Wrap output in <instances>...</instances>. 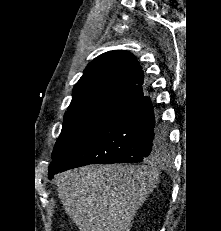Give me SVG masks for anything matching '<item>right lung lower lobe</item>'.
<instances>
[{
  "mask_svg": "<svg viewBox=\"0 0 221 231\" xmlns=\"http://www.w3.org/2000/svg\"><path fill=\"white\" fill-rule=\"evenodd\" d=\"M167 135L155 115L150 97L130 102L115 113L64 165L48 172L54 174L96 163H138L163 155Z\"/></svg>",
  "mask_w": 221,
  "mask_h": 231,
  "instance_id": "obj_1",
  "label": "right lung lower lobe"
}]
</instances>
